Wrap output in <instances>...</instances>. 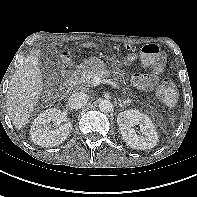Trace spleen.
Segmentation results:
<instances>
[{
    "label": "spleen",
    "instance_id": "spleen-1",
    "mask_svg": "<svg viewBox=\"0 0 197 197\" xmlns=\"http://www.w3.org/2000/svg\"><path fill=\"white\" fill-rule=\"evenodd\" d=\"M170 119H171V122L173 124L176 118H170Z\"/></svg>",
    "mask_w": 197,
    "mask_h": 197
}]
</instances>
